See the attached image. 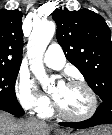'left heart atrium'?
<instances>
[{"instance_id": "1", "label": "left heart atrium", "mask_w": 112, "mask_h": 135, "mask_svg": "<svg viewBox=\"0 0 112 135\" xmlns=\"http://www.w3.org/2000/svg\"><path fill=\"white\" fill-rule=\"evenodd\" d=\"M64 85H65V84H64V83H62V82L59 84V86H60V87H62V86H64Z\"/></svg>"}]
</instances>
